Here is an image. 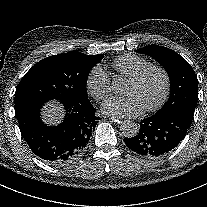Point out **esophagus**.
I'll list each match as a JSON object with an SVG mask.
<instances>
[{
  "instance_id": "34e87169",
  "label": "esophagus",
  "mask_w": 207,
  "mask_h": 207,
  "mask_svg": "<svg viewBox=\"0 0 207 207\" xmlns=\"http://www.w3.org/2000/svg\"><path fill=\"white\" fill-rule=\"evenodd\" d=\"M109 119L114 121L116 123V125H118V126H121L124 123V120L121 117H118V118L110 117Z\"/></svg>"
}]
</instances>
